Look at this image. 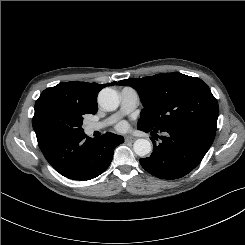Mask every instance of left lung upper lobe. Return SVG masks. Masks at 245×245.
<instances>
[{"label": "left lung upper lobe", "mask_w": 245, "mask_h": 245, "mask_svg": "<svg viewBox=\"0 0 245 245\" xmlns=\"http://www.w3.org/2000/svg\"><path fill=\"white\" fill-rule=\"evenodd\" d=\"M117 85L137 90L144 108L138 120L140 130H161L193 123L216 130L217 100L201 79L181 73H164L121 80Z\"/></svg>", "instance_id": "5c2ea615"}]
</instances>
